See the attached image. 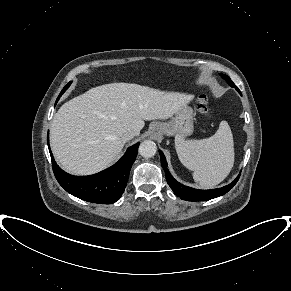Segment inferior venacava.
Masks as SVG:
<instances>
[{
  "label": "inferior vena cava",
  "mask_w": 291,
  "mask_h": 291,
  "mask_svg": "<svg viewBox=\"0 0 291 291\" xmlns=\"http://www.w3.org/2000/svg\"><path fill=\"white\" fill-rule=\"evenodd\" d=\"M137 135H138L137 132H135V131H133V130H128V131H126V132L123 133V135H122V140H123L124 142H127V141L133 139V138H134L135 136H137Z\"/></svg>",
  "instance_id": "obj_1"
}]
</instances>
